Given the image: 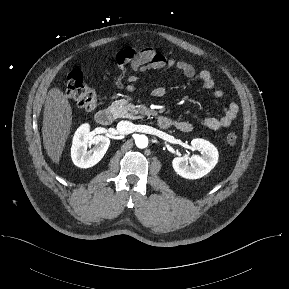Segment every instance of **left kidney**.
I'll return each instance as SVG.
<instances>
[{
	"label": "left kidney",
	"mask_w": 289,
	"mask_h": 289,
	"mask_svg": "<svg viewBox=\"0 0 289 289\" xmlns=\"http://www.w3.org/2000/svg\"><path fill=\"white\" fill-rule=\"evenodd\" d=\"M192 150H198L199 155H193L188 163L184 157H175L172 166L175 172L186 179H198L208 174L217 164L219 154L217 148L207 140L193 139Z\"/></svg>",
	"instance_id": "left-kidney-1"
}]
</instances>
